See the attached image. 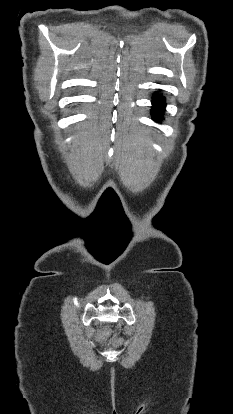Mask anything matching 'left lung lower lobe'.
Wrapping results in <instances>:
<instances>
[{
  "label": "left lung lower lobe",
  "instance_id": "1",
  "mask_svg": "<svg viewBox=\"0 0 233 414\" xmlns=\"http://www.w3.org/2000/svg\"><path fill=\"white\" fill-rule=\"evenodd\" d=\"M152 105L151 114L153 115V119L160 122L163 120L165 99L156 93L152 99Z\"/></svg>",
  "mask_w": 233,
  "mask_h": 414
}]
</instances>
